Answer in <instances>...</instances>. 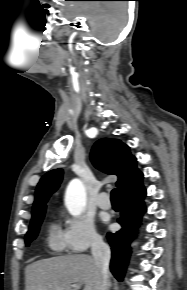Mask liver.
Here are the masks:
<instances>
[{"label": "liver", "instance_id": "obj_1", "mask_svg": "<svg viewBox=\"0 0 187 290\" xmlns=\"http://www.w3.org/2000/svg\"><path fill=\"white\" fill-rule=\"evenodd\" d=\"M111 284L108 280L106 288ZM82 285L84 290H103L100 270L86 254L41 259L25 269V290H79Z\"/></svg>", "mask_w": 187, "mask_h": 290}]
</instances>
